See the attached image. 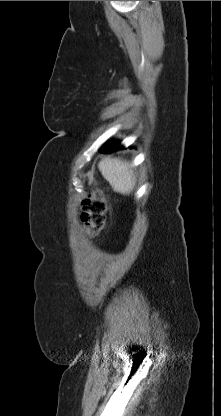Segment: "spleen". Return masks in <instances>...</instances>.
I'll list each match as a JSON object with an SVG mask.
<instances>
[{
  "instance_id": "obj_1",
  "label": "spleen",
  "mask_w": 221,
  "mask_h": 416,
  "mask_svg": "<svg viewBox=\"0 0 221 416\" xmlns=\"http://www.w3.org/2000/svg\"><path fill=\"white\" fill-rule=\"evenodd\" d=\"M98 168L114 191L130 194L135 188L136 178L126 161L105 158L99 162Z\"/></svg>"
}]
</instances>
